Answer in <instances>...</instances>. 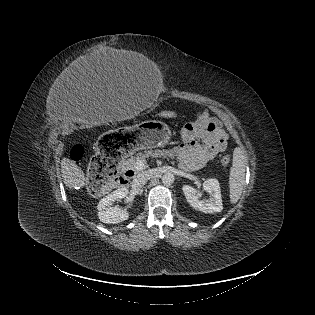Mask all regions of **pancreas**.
Listing matches in <instances>:
<instances>
[{
	"label": "pancreas",
	"mask_w": 315,
	"mask_h": 315,
	"mask_svg": "<svg viewBox=\"0 0 315 315\" xmlns=\"http://www.w3.org/2000/svg\"><path fill=\"white\" fill-rule=\"evenodd\" d=\"M172 153L171 151L168 150H150L144 153H137L136 155L132 156L130 159H128L127 161H125V167L128 170H133V171H141L137 169V163L139 161H142L144 163V167L143 169H145L146 167H148V165L146 164V160L149 157H163V158H167V157H171ZM142 169V170H143Z\"/></svg>",
	"instance_id": "1"
}]
</instances>
